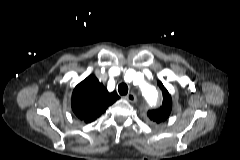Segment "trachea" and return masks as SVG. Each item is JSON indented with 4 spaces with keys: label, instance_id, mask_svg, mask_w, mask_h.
<instances>
[{
    "label": "trachea",
    "instance_id": "1",
    "mask_svg": "<svg viewBox=\"0 0 240 160\" xmlns=\"http://www.w3.org/2000/svg\"><path fill=\"white\" fill-rule=\"evenodd\" d=\"M118 92L122 96L126 95L128 93V86L125 83L119 84Z\"/></svg>",
    "mask_w": 240,
    "mask_h": 160
}]
</instances>
